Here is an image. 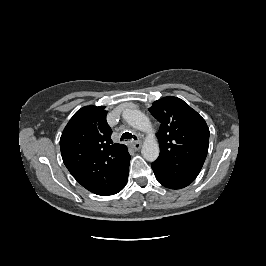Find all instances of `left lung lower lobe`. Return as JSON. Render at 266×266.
Masks as SVG:
<instances>
[{
	"mask_svg": "<svg viewBox=\"0 0 266 266\" xmlns=\"http://www.w3.org/2000/svg\"><path fill=\"white\" fill-rule=\"evenodd\" d=\"M155 176H156V179L158 180V182L160 184H162L163 186L170 188V189H181V188L188 186L186 184H180V183L172 182L170 180L164 179V178L159 177L157 175H155Z\"/></svg>",
	"mask_w": 266,
	"mask_h": 266,
	"instance_id": "1",
	"label": "left lung lower lobe"
}]
</instances>
